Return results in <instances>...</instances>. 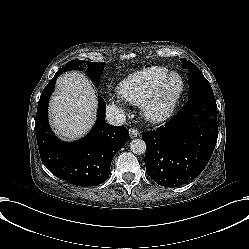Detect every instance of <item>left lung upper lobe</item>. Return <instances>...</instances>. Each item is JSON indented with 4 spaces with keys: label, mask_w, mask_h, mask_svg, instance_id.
<instances>
[{
    "label": "left lung upper lobe",
    "mask_w": 249,
    "mask_h": 249,
    "mask_svg": "<svg viewBox=\"0 0 249 249\" xmlns=\"http://www.w3.org/2000/svg\"><path fill=\"white\" fill-rule=\"evenodd\" d=\"M184 64V69L188 70L189 76V95L188 98L198 95H214L209 82L206 80L200 70L190 61L186 59H180Z\"/></svg>",
    "instance_id": "1"
}]
</instances>
